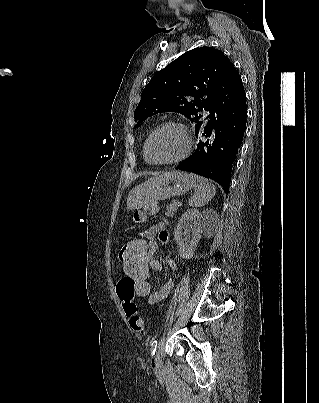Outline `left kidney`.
I'll list each match as a JSON object with an SVG mask.
<instances>
[{"mask_svg": "<svg viewBox=\"0 0 319 403\" xmlns=\"http://www.w3.org/2000/svg\"><path fill=\"white\" fill-rule=\"evenodd\" d=\"M213 218H217L216 212L213 209H206L200 213L197 209L192 208L182 214L174 228V239L177 244L178 253L182 258L188 259L194 255L196 246L201 239V234L205 230L208 220ZM187 222L192 224L191 240L184 243L185 240L182 237L181 230Z\"/></svg>", "mask_w": 319, "mask_h": 403, "instance_id": "1", "label": "left kidney"}]
</instances>
